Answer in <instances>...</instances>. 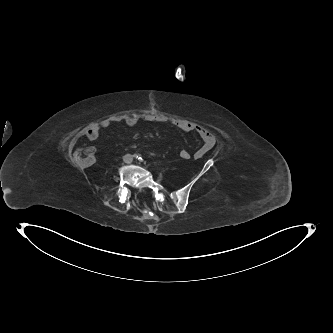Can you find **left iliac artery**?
Wrapping results in <instances>:
<instances>
[{
    "instance_id": "44dca946",
    "label": "left iliac artery",
    "mask_w": 333,
    "mask_h": 333,
    "mask_svg": "<svg viewBox=\"0 0 333 333\" xmlns=\"http://www.w3.org/2000/svg\"><path fill=\"white\" fill-rule=\"evenodd\" d=\"M135 157L138 158L139 160H142V158L140 156L138 157V155H135Z\"/></svg>"
}]
</instances>
